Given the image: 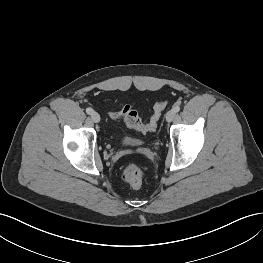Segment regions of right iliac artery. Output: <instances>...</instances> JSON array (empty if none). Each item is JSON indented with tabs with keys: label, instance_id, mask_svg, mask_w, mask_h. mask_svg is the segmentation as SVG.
<instances>
[{
	"label": "right iliac artery",
	"instance_id": "1",
	"mask_svg": "<svg viewBox=\"0 0 263 263\" xmlns=\"http://www.w3.org/2000/svg\"><path fill=\"white\" fill-rule=\"evenodd\" d=\"M92 112H93V109H92V108L88 107V108L86 109V113H87V114H91Z\"/></svg>",
	"mask_w": 263,
	"mask_h": 263
}]
</instances>
